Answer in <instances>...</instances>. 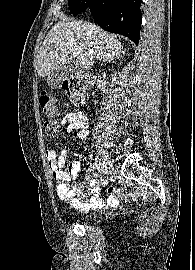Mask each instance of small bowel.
Instances as JSON below:
<instances>
[{
    "label": "small bowel",
    "mask_w": 195,
    "mask_h": 270,
    "mask_svg": "<svg viewBox=\"0 0 195 270\" xmlns=\"http://www.w3.org/2000/svg\"><path fill=\"white\" fill-rule=\"evenodd\" d=\"M61 125L66 127L67 133L70 135H77L79 138L84 139L89 134V125L87 116L81 112H68L61 119ZM49 168L55 180L58 177L68 176L74 179L78 178L80 171V163L72 161L69 164L68 172L64 171V166L67 161V151L61 150L60 152L51 148L46 153ZM94 182H91L92 186ZM92 194L91 203L86 200V193ZM109 195L106 199L100 198V189L93 187L89 189L86 183H80L74 187H69L65 192L57 188V194L62 201L68 202L73 208L80 213H86L90 208H99L103 206L115 207L119 204L122 198V193L114 188H108ZM78 194L80 198H76Z\"/></svg>",
    "instance_id": "1"
}]
</instances>
